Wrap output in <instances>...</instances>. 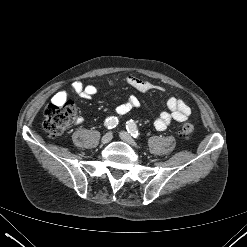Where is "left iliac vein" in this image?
I'll return each instance as SVG.
<instances>
[{
	"label": "left iliac vein",
	"mask_w": 247,
	"mask_h": 247,
	"mask_svg": "<svg viewBox=\"0 0 247 247\" xmlns=\"http://www.w3.org/2000/svg\"><path fill=\"white\" fill-rule=\"evenodd\" d=\"M120 137L124 142L128 143L129 145H131L135 148L138 147L136 142L133 140V138L127 132H124V131L120 132Z\"/></svg>",
	"instance_id": "4c4485c4"
}]
</instances>
